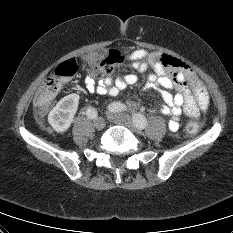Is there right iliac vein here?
Instances as JSON below:
<instances>
[{
  "mask_svg": "<svg viewBox=\"0 0 233 233\" xmlns=\"http://www.w3.org/2000/svg\"><path fill=\"white\" fill-rule=\"evenodd\" d=\"M94 126L96 129L101 130L105 127V121L103 118L98 117L94 120Z\"/></svg>",
  "mask_w": 233,
  "mask_h": 233,
  "instance_id": "63e3f726",
  "label": "right iliac vein"
}]
</instances>
